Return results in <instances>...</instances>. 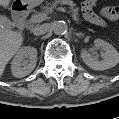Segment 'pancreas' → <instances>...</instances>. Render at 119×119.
I'll return each mask as SVG.
<instances>
[{
  "label": "pancreas",
  "mask_w": 119,
  "mask_h": 119,
  "mask_svg": "<svg viewBox=\"0 0 119 119\" xmlns=\"http://www.w3.org/2000/svg\"><path fill=\"white\" fill-rule=\"evenodd\" d=\"M65 4L70 5L71 10H72V12H73V19H74L75 21H78V19H77V17H78V11H77V9L75 8V4L72 3V2H70L69 0H55L54 2H52V4H50V5L48 4L46 7H43V8H44V10L46 11V13H51L58 5H65ZM34 16H35V15L32 16L31 22L36 23V22L34 21V19H33Z\"/></svg>",
  "instance_id": "1"
}]
</instances>
